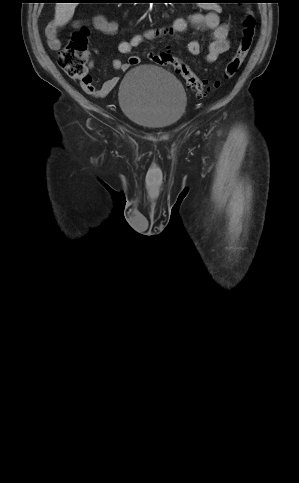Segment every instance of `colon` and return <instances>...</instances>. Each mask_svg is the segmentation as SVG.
I'll return each instance as SVG.
<instances>
[{
    "mask_svg": "<svg viewBox=\"0 0 299 483\" xmlns=\"http://www.w3.org/2000/svg\"><path fill=\"white\" fill-rule=\"evenodd\" d=\"M255 25L253 13L249 10L245 11L242 17L241 36L238 45L228 60L220 78L211 83L200 79L182 59L171 55L169 52L152 53L150 60L156 65L173 68L179 72L196 95L204 97L214 89L219 88L224 81H228L235 76L251 49ZM87 44V30L81 28L75 31L69 42L61 50L58 64L68 76L78 80L84 89L91 90L94 86L88 74Z\"/></svg>",
    "mask_w": 299,
    "mask_h": 483,
    "instance_id": "5ec220e1",
    "label": "colon"
}]
</instances>
